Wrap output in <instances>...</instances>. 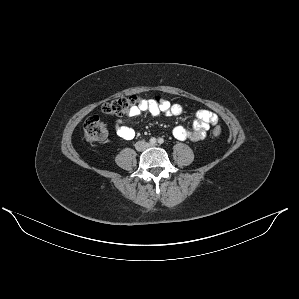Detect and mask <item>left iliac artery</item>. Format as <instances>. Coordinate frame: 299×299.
<instances>
[{
    "label": "left iliac artery",
    "mask_w": 299,
    "mask_h": 299,
    "mask_svg": "<svg viewBox=\"0 0 299 299\" xmlns=\"http://www.w3.org/2000/svg\"><path fill=\"white\" fill-rule=\"evenodd\" d=\"M158 143H159V144H163V143H164V139H163V138H159V139H158Z\"/></svg>",
    "instance_id": "44dca946"
}]
</instances>
